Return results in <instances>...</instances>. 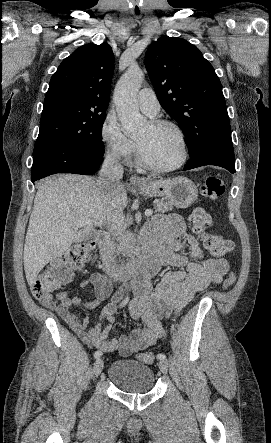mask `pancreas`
Wrapping results in <instances>:
<instances>
[{"instance_id": "1", "label": "pancreas", "mask_w": 271, "mask_h": 443, "mask_svg": "<svg viewBox=\"0 0 271 443\" xmlns=\"http://www.w3.org/2000/svg\"><path fill=\"white\" fill-rule=\"evenodd\" d=\"M155 212H160V214H164V212H169V210H173V204H170V202H164V200H155ZM132 233H129L128 237L127 235H122V237H119V243H117V249L118 251H130V237ZM103 253V251H101Z\"/></svg>"}]
</instances>
